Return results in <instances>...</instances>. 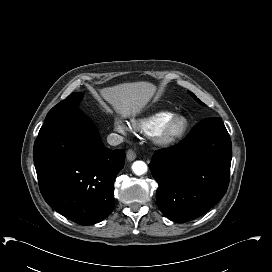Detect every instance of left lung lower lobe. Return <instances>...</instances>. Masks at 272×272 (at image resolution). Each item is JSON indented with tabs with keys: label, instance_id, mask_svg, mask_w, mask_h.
<instances>
[{
	"label": "left lung lower lobe",
	"instance_id": "left-lung-lower-lobe-1",
	"mask_svg": "<svg viewBox=\"0 0 272 272\" xmlns=\"http://www.w3.org/2000/svg\"><path fill=\"white\" fill-rule=\"evenodd\" d=\"M231 157V140L218 117L202 120L179 145L156 152L149 167L162 213L184 223L212 208L226 193Z\"/></svg>",
	"mask_w": 272,
	"mask_h": 272
}]
</instances>
